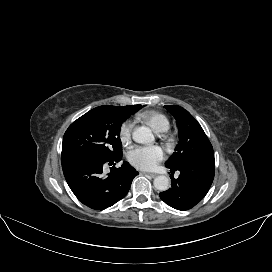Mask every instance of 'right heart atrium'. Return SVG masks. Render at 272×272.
Returning <instances> with one entry per match:
<instances>
[{"mask_svg": "<svg viewBox=\"0 0 272 272\" xmlns=\"http://www.w3.org/2000/svg\"><path fill=\"white\" fill-rule=\"evenodd\" d=\"M133 123L131 121H125L122 123L119 129V139L123 145H127L131 141Z\"/></svg>", "mask_w": 272, "mask_h": 272, "instance_id": "right-heart-atrium-1", "label": "right heart atrium"}]
</instances>
